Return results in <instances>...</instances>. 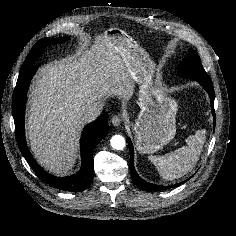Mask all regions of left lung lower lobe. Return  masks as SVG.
Segmentation results:
<instances>
[{
    "mask_svg": "<svg viewBox=\"0 0 236 236\" xmlns=\"http://www.w3.org/2000/svg\"><path fill=\"white\" fill-rule=\"evenodd\" d=\"M196 81H198L202 87L208 92L210 99H211V109H212V113H213V123L215 126V110H214V88H213V84L210 78H206V79H194ZM128 145H129V149H130V154H131V159H130V172L132 175V180L134 181V183H136L141 189L146 190V191H159V190H163V189H167V188H174L180 184L185 183L187 180L179 183V184H175L172 186H162V185H155V184H151L148 183L146 181H144L142 178L139 177V175L136 173L135 168H134V150H133V145L132 142L130 140V138L128 139Z\"/></svg>",
    "mask_w": 236,
    "mask_h": 236,
    "instance_id": "0a47b994",
    "label": "left lung lower lobe"
}]
</instances>
